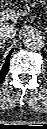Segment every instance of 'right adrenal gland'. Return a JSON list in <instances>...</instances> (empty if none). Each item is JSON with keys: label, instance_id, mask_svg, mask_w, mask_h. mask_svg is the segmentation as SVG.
I'll return each instance as SVG.
<instances>
[{"label": "right adrenal gland", "instance_id": "obj_1", "mask_svg": "<svg viewBox=\"0 0 47 129\" xmlns=\"http://www.w3.org/2000/svg\"><path fill=\"white\" fill-rule=\"evenodd\" d=\"M4 43H5V40H1V41H0V45H1V46L4 45Z\"/></svg>", "mask_w": 47, "mask_h": 129}]
</instances>
